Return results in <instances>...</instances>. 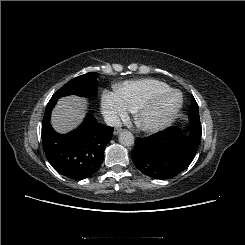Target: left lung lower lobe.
Masks as SVG:
<instances>
[{"instance_id": "0a47b994", "label": "left lung lower lobe", "mask_w": 245, "mask_h": 245, "mask_svg": "<svg viewBox=\"0 0 245 245\" xmlns=\"http://www.w3.org/2000/svg\"><path fill=\"white\" fill-rule=\"evenodd\" d=\"M201 142V130L184 136L178 128L167 129L136 140L131 152L135 166L155 179H169L188 167Z\"/></svg>"}]
</instances>
